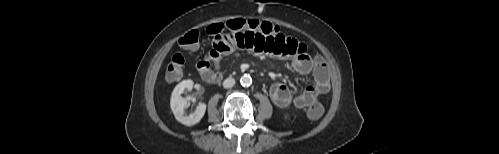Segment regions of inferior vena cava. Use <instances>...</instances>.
<instances>
[{
    "label": "inferior vena cava",
    "mask_w": 499,
    "mask_h": 154,
    "mask_svg": "<svg viewBox=\"0 0 499 154\" xmlns=\"http://www.w3.org/2000/svg\"><path fill=\"white\" fill-rule=\"evenodd\" d=\"M235 84V80L233 78H227L223 81L224 88H231Z\"/></svg>",
    "instance_id": "1"
}]
</instances>
